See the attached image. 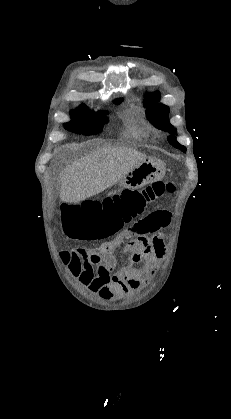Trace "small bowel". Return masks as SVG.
Instances as JSON below:
<instances>
[{
	"label": "small bowel",
	"instance_id": "obj_1",
	"mask_svg": "<svg viewBox=\"0 0 231 419\" xmlns=\"http://www.w3.org/2000/svg\"><path fill=\"white\" fill-rule=\"evenodd\" d=\"M169 222L168 211L149 214L97 248L62 252L63 262L89 292L105 300L120 299L147 284L146 270L157 271L166 254L164 237L158 230ZM118 248L126 255L123 266H118L114 256Z\"/></svg>",
	"mask_w": 231,
	"mask_h": 419
}]
</instances>
